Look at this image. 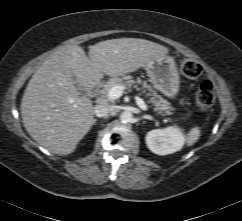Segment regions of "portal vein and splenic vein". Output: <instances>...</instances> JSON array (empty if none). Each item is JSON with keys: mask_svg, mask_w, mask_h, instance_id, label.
Here are the masks:
<instances>
[{"mask_svg": "<svg viewBox=\"0 0 242 221\" xmlns=\"http://www.w3.org/2000/svg\"><path fill=\"white\" fill-rule=\"evenodd\" d=\"M124 87L120 85H116L112 87L109 92H108V98L111 100H116L120 98L123 93H124ZM137 105L142 109V110H147V105L145 102L138 96L135 97Z\"/></svg>", "mask_w": 242, "mask_h": 221, "instance_id": "1", "label": "portal vein and splenic vein"}]
</instances>
